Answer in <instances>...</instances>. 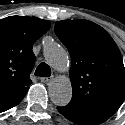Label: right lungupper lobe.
Masks as SVG:
<instances>
[{"instance_id":"right-lung-upper-lobe-1","label":"right lung upper lobe","mask_w":125,"mask_h":125,"mask_svg":"<svg viewBox=\"0 0 125 125\" xmlns=\"http://www.w3.org/2000/svg\"><path fill=\"white\" fill-rule=\"evenodd\" d=\"M51 24L29 16H10L0 20V108L23 99L32 83V46Z\"/></svg>"}]
</instances>
